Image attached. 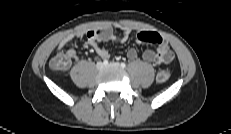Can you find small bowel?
Here are the masks:
<instances>
[{
	"instance_id": "small-bowel-1",
	"label": "small bowel",
	"mask_w": 231,
	"mask_h": 134,
	"mask_svg": "<svg viewBox=\"0 0 231 134\" xmlns=\"http://www.w3.org/2000/svg\"><path fill=\"white\" fill-rule=\"evenodd\" d=\"M121 35L115 34V28L105 27L98 30L76 31L64 36L57 47L58 53L63 52L65 45L70 43L75 38H86V44L95 52L96 55L103 59L110 57V52L107 48L100 46V42H120L124 43L132 34V29L128 26H121ZM136 40L138 43H152L157 46L155 50L146 49L142 53V58L148 63H155L157 65L168 64L174 58V53L170 49L168 42L158 33L151 31L139 30L136 32ZM66 55L71 61L76 59V52L73 49L66 51ZM127 57L135 60L138 57V51L131 48L127 51Z\"/></svg>"
}]
</instances>
